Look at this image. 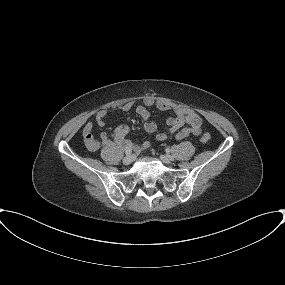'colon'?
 <instances>
[{
	"instance_id": "1",
	"label": "colon",
	"mask_w": 285,
	"mask_h": 285,
	"mask_svg": "<svg viewBox=\"0 0 285 285\" xmlns=\"http://www.w3.org/2000/svg\"><path fill=\"white\" fill-rule=\"evenodd\" d=\"M209 140H210V135H209V134L205 133V134H203V135L201 136V141H202V142L206 143V142H208Z\"/></svg>"
}]
</instances>
